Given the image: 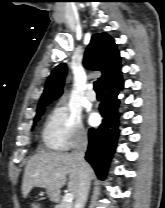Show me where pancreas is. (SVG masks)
Returning a JSON list of instances; mask_svg holds the SVG:
<instances>
[{
	"instance_id": "cf45deb5",
	"label": "pancreas",
	"mask_w": 165,
	"mask_h": 208,
	"mask_svg": "<svg viewBox=\"0 0 165 208\" xmlns=\"http://www.w3.org/2000/svg\"><path fill=\"white\" fill-rule=\"evenodd\" d=\"M55 208H72V204L66 203L64 201H59V203L55 206Z\"/></svg>"
}]
</instances>
